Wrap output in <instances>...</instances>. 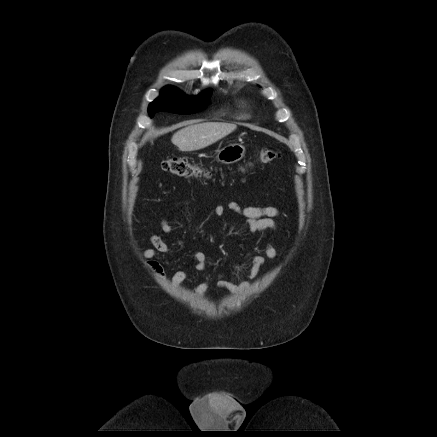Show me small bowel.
Returning a JSON list of instances; mask_svg holds the SVG:
<instances>
[{"label":"small bowel","mask_w":437,"mask_h":437,"mask_svg":"<svg viewBox=\"0 0 437 437\" xmlns=\"http://www.w3.org/2000/svg\"><path fill=\"white\" fill-rule=\"evenodd\" d=\"M226 210H230L236 215L243 217L248 226L250 233L256 234L266 230H275L277 228L276 218L279 216V210L273 206L255 207L246 206L241 207L236 202H229L227 205L215 206L213 212L216 216L221 217L226 213ZM161 230L169 234L173 231L172 225L165 218L160 221ZM150 243L152 248L143 251V257L147 260V265L154 272L159 280H165L166 274L164 271L163 263L168 266H173L167 259V255L172 253L170 246L157 234L150 236ZM277 250L271 244H265L262 254H248L247 259L250 262V271L248 278L239 283L232 282L227 279L226 275L218 276V286L221 289L228 290L232 293H241L248 289L261 268L265 265L267 260L276 258ZM196 261V269L201 272H206V255L203 252H197L194 255ZM188 277V273L182 270L176 271L171 277V284L174 287L180 286ZM209 284V277H206L204 282L196 286L194 293L197 296L203 295Z\"/></svg>","instance_id":"c3829d8e"}]
</instances>
